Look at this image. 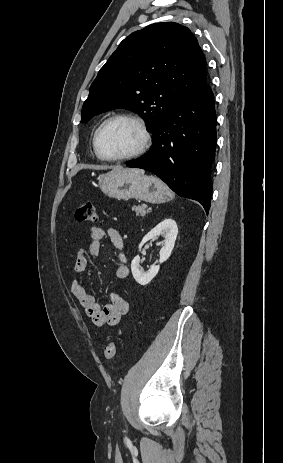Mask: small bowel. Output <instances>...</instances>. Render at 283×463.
Listing matches in <instances>:
<instances>
[{
    "mask_svg": "<svg viewBox=\"0 0 283 463\" xmlns=\"http://www.w3.org/2000/svg\"><path fill=\"white\" fill-rule=\"evenodd\" d=\"M92 241L87 249L79 248L75 254L74 272L75 277L70 285L72 296L84 308L87 317L96 326L118 325L122 316L130 309L129 301L115 292L108 294V300L99 305L95 298L90 295L84 287L80 275L85 272L88 265V256L99 257L102 252V241L108 237L117 251L118 264L115 268V276L118 279H125L129 275L127 257L124 253V242L121 234L114 228H102L93 226L90 228Z\"/></svg>",
    "mask_w": 283,
    "mask_h": 463,
    "instance_id": "obj_1",
    "label": "small bowel"
}]
</instances>
